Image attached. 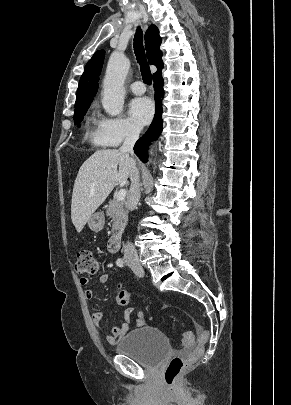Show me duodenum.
<instances>
[{"instance_id":"410a0bca","label":"duodenum","mask_w":291,"mask_h":405,"mask_svg":"<svg viewBox=\"0 0 291 405\" xmlns=\"http://www.w3.org/2000/svg\"><path fill=\"white\" fill-rule=\"evenodd\" d=\"M120 247H121V235L115 234L108 240L107 249L108 251L115 253L119 251Z\"/></svg>"}]
</instances>
